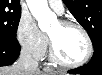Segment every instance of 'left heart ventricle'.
Wrapping results in <instances>:
<instances>
[{"mask_svg":"<svg viewBox=\"0 0 102 75\" xmlns=\"http://www.w3.org/2000/svg\"><path fill=\"white\" fill-rule=\"evenodd\" d=\"M59 56L66 62H77L86 54V41L75 27H61L57 22L48 31Z\"/></svg>","mask_w":102,"mask_h":75,"instance_id":"obj_1","label":"left heart ventricle"}]
</instances>
